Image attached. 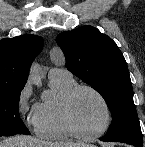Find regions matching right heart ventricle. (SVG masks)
Instances as JSON below:
<instances>
[{"instance_id":"e07e8e85","label":"right heart ventricle","mask_w":145,"mask_h":147,"mask_svg":"<svg viewBox=\"0 0 145 147\" xmlns=\"http://www.w3.org/2000/svg\"><path fill=\"white\" fill-rule=\"evenodd\" d=\"M52 98L37 104L36 133L45 139L66 140L77 136L66 123L62 103L69 91L77 85L73 77H49Z\"/></svg>"}]
</instances>
